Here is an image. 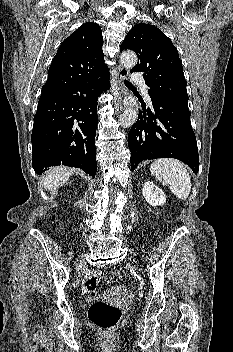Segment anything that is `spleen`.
Returning <instances> with one entry per match:
<instances>
[{"instance_id":"obj_1","label":"spleen","mask_w":233,"mask_h":352,"mask_svg":"<svg viewBox=\"0 0 233 352\" xmlns=\"http://www.w3.org/2000/svg\"><path fill=\"white\" fill-rule=\"evenodd\" d=\"M151 173L163 185H169L171 192L186 200L191 191V180L183 163L176 159H158L150 166Z\"/></svg>"}]
</instances>
